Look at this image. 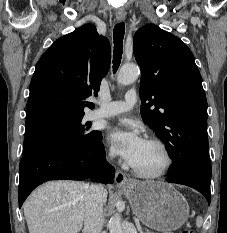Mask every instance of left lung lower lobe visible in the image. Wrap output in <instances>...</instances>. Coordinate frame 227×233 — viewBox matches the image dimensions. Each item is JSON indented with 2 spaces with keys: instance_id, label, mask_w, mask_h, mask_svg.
I'll return each instance as SVG.
<instances>
[{
  "instance_id": "left-lung-lower-lobe-1",
  "label": "left lung lower lobe",
  "mask_w": 227,
  "mask_h": 233,
  "mask_svg": "<svg viewBox=\"0 0 227 233\" xmlns=\"http://www.w3.org/2000/svg\"><path fill=\"white\" fill-rule=\"evenodd\" d=\"M170 183L183 184L192 187L202 193L208 204L211 201L210 181L211 176L195 171H185L179 173H169L166 179Z\"/></svg>"
}]
</instances>
